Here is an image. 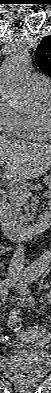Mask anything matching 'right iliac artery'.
Returning <instances> with one entry per match:
<instances>
[{"instance_id": "1", "label": "right iliac artery", "mask_w": 51, "mask_h": 393, "mask_svg": "<svg viewBox=\"0 0 51 393\" xmlns=\"http://www.w3.org/2000/svg\"><path fill=\"white\" fill-rule=\"evenodd\" d=\"M10 283H11V279L6 278L0 284V286H1L0 287V297H1L2 301H5L7 299Z\"/></svg>"}]
</instances>
